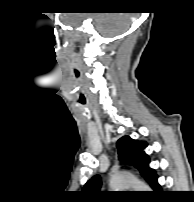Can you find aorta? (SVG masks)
<instances>
[{
    "mask_svg": "<svg viewBox=\"0 0 194 202\" xmlns=\"http://www.w3.org/2000/svg\"><path fill=\"white\" fill-rule=\"evenodd\" d=\"M109 184L113 191H122L123 189H127L129 187L134 188L136 191H149V187L145 183L130 175H114L111 177Z\"/></svg>",
    "mask_w": 194,
    "mask_h": 202,
    "instance_id": "aorta-1",
    "label": "aorta"
}]
</instances>
